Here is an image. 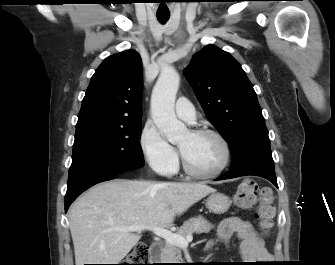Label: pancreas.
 Instances as JSON below:
<instances>
[{
	"mask_svg": "<svg viewBox=\"0 0 335 265\" xmlns=\"http://www.w3.org/2000/svg\"><path fill=\"white\" fill-rule=\"evenodd\" d=\"M213 227L214 226L202 216H198L185 221L178 229L177 234L186 237L193 233H208ZM161 260L163 263H180L182 260L180 247L166 242L161 253Z\"/></svg>",
	"mask_w": 335,
	"mask_h": 265,
	"instance_id": "obj_1",
	"label": "pancreas"
}]
</instances>
